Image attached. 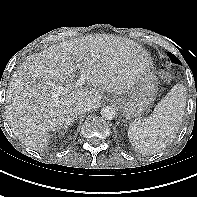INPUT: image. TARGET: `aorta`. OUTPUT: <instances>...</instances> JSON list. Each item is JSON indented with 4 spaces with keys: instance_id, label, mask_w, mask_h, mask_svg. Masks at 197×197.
<instances>
[{
    "instance_id": "aorta-1",
    "label": "aorta",
    "mask_w": 197,
    "mask_h": 197,
    "mask_svg": "<svg viewBox=\"0 0 197 197\" xmlns=\"http://www.w3.org/2000/svg\"><path fill=\"white\" fill-rule=\"evenodd\" d=\"M100 114L105 120H112L115 117L116 112L112 106H105L101 109Z\"/></svg>"
}]
</instances>
